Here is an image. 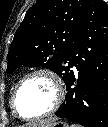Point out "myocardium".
<instances>
[{"mask_svg":"<svg viewBox=\"0 0 108 127\" xmlns=\"http://www.w3.org/2000/svg\"><path fill=\"white\" fill-rule=\"evenodd\" d=\"M35 76H45L52 82L54 89H55V99H54L52 106L44 113L37 115V116L26 117V116H23L18 111L17 106H16V97H17V94H18L20 88L22 87V85L27 80H29L30 78L35 77ZM64 97H65V86H64L62 79L52 70L40 68V69H36V70H33V71L25 74L18 81V83L15 86L13 93L11 95V108L13 110V113L18 118L25 120V121H34V120H38V119L47 117V116L53 114L54 112H56L59 109V107L61 106V104L63 103Z\"/></svg>","mask_w":108,"mask_h":127,"instance_id":"obj_1","label":"myocardium"}]
</instances>
